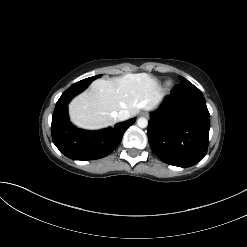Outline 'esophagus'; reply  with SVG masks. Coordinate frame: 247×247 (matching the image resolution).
I'll list each match as a JSON object with an SVG mask.
<instances>
[{
    "label": "esophagus",
    "instance_id": "34e87169",
    "mask_svg": "<svg viewBox=\"0 0 247 247\" xmlns=\"http://www.w3.org/2000/svg\"><path fill=\"white\" fill-rule=\"evenodd\" d=\"M141 116L146 117V118H149V113H147V112H142V113H141Z\"/></svg>",
    "mask_w": 247,
    "mask_h": 247
}]
</instances>
